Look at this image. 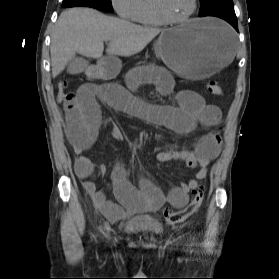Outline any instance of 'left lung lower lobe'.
I'll return each mask as SVG.
<instances>
[{"mask_svg":"<svg viewBox=\"0 0 279 279\" xmlns=\"http://www.w3.org/2000/svg\"><path fill=\"white\" fill-rule=\"evenodd\" d=\"M208 16H215V17L224 19L229 24H231L235 28V30L238 32V22H237V18H236L234 9L217 11V12L211 13Z\"/></svg>","mask_w":279,"mask_h":279,"instance_id":"obj_1","label":"left lung lower lobe"}]
</instances>
